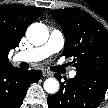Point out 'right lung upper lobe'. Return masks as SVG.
<instances>
[{
  "mask_svg": "<svg viewBox=\"0 0 108 108\" xmlns=\"http://www.w3.org/2000/svg\"><path fill=\"white\" fill-rule=\"evenodd\" d=\"M43 12L40 7L17 4L0 6V69L13 67L8 53L19 45L27 27Z\"/></svg>",
  "mask_w": 108,
  "mask_h": 108,
  "instance_id": "right-lung-upper-lobe-1",
  "label": "right lung upper lobe"
}]
</instances>
